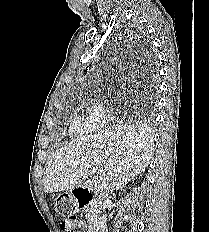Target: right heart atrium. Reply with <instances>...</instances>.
Listing matches in <instances>:
<instances>
[{
	"mask_svg": "<svg viewBox=\"0 0 209 232\" xmlns=\"http://www.w3.org/2000/svg\"><path fill=\"white\" fill-rule=\"evenodd\" d=\"M87 127L89 131L96 132L110 124L112 114L99 97H92L87 104Z\"/></svg>",
	"mask_w": 209,
	"mask_h": 232,
	"instance_id": "obj_1",
	"label": "right heart atrium"
}]
</instances>
